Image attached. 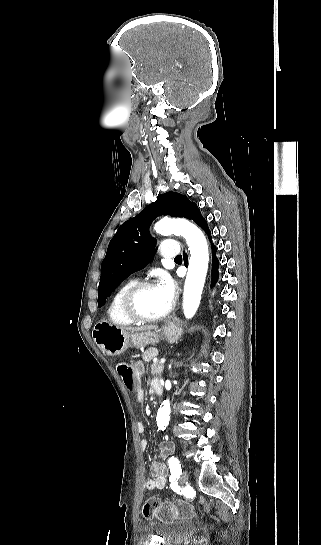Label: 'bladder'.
<instances>
[{
	"label": "bladder",
	"instance_id": "1",
	"mask_svg": "<svg viewBox=\"0 0 321 545\" xmlns=\"http://www.w3.org/2000/svg\"><path fill=\"white\" fill-rule=\"evenodd\" d=\"M194 529L190 519H173L169 521L154 518L149 523V530L155 532L165 543L173 545L183 543Z\"/></svg>",
	"mask_w": 321,
	"mask_h": 545
}]
</instances>
